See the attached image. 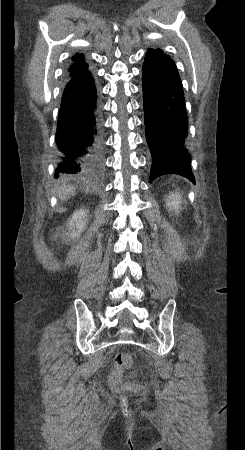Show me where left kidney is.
<instances>
[{"label":"left kidney","instance_id":"1","mask_svg":"<svg viewBox=\"0 0 245 450\" xmlns=\"http://www.w3.org/2000/svg\"><path fill=\"white\" fill-rule=\"evenodd\" d=\"M182 204V196L179 192L171 193L169 198L167 199L166 207L169 208V211L178 213L181 209Z\"/></svg>","mask_w":245,"mask_h":450}]
</instances>
